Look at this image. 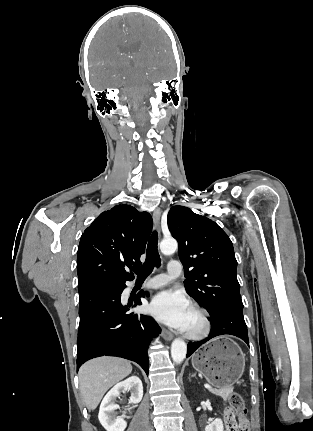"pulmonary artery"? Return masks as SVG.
Segmentation results:
<instances>
[{
	"label": "pulmonary artery",
	"mask_w": 313,
	"mask_h": 431,
	"mask_svg": "<svg viewBox=\"0 0 313 431\" xmlns=\"http://www.w3.org/2000/svg\"><path fill=\"white\" fill-rule=\"evenodd\" d=\"M181 274V265L178 261L172 260L168 263V273L159 274L148 281L144 288L156 289L161 288L169 284L173 279L177 278Z\"/></svg>",
	"instance_id": "e3ab8cb5"
}]
</instances>
